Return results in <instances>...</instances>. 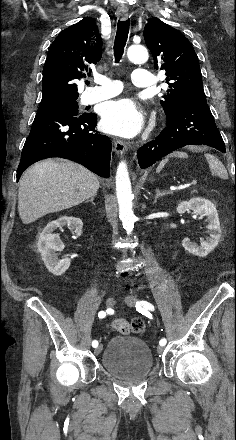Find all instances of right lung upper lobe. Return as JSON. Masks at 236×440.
<instances>
[{
    "mask_svg": "<svg viewBox=\"0 0 236 440\" xmlns=\"http://www.w3.org/2000/svg\"><path fill=\"white\" fill-rule=\"evenodd\" d=\"M102 56V38L90 17L64 29L51 44L43 67L39 108L76 101L77 82Z\"/></svg>",
    "mask_w": 236,
    "mask_h": 440,
    "instance_id": "obj_1",
    "label": "right lung upper lobe"
}]
</instances>
